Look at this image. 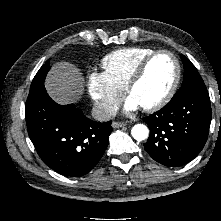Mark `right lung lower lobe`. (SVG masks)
Segmentation results:
<instances>
[{
    "label": "right lung lower lobe",
    "mask_w": 221,
    "mask_h": 221,
    "mask_svg": "<svg viewBox=\"0 0 221 221\" xmlns=\"http://www.w3.org/2000/svg\"><path fill=\"white\" fill-rule=\"evenodd\" d=\"M29 137L43 162L59 174L78 177L91 171L104 154L111 121L95 122L71 105H59L44 84L30 89L25 105Z\"/></svg>",
    "instance_id": "98d812e1"
}]
</instances>
